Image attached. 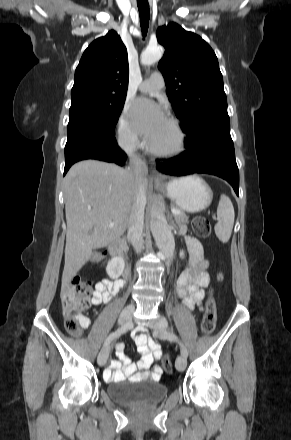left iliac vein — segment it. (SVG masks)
<instances>
[{"label":"left iliac vein","mask_w":291,"mask_h":440,"mask_svg":"<svg viewBox=\"0 0 291 440\" xmlns=\"http://www.w3.org/2000/svg\"><path fill=\"white\" fill-rule=\"evenodd\" d=\"M168 324L167 320L164 317H159L157 320V324L154 325V334L161 339H166L165 332L167 330ZM187 364L186 357L183 355H180L176 359V369L179 372H182L185 370Z\"/></svg>","instance_id":"left-iliac-vein-1"}]
</instances>
